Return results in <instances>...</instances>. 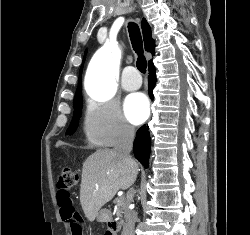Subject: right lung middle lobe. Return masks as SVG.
Instances as JSON below:
<instances>
[{
  "instance_id": "obj_1",
  "label": "right lung middle lobe",
  "mask_w": 250,
  "mask_h": 235,
  "mask_svg": "<svg viewBox=\"0 0 250 235\" xmlns=\"http://www.w3.org/2000/svg\"><path fill=\"white\" fill-rule=\"evenodd\" d=\"M81 110H82V96L81 94H79L74 98V116L67 130L68 134H72L76 130L78 126V121L81 116Z\"/></svg>"
}]
</instances>
